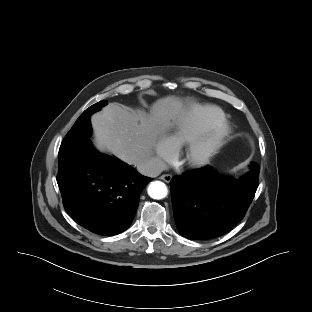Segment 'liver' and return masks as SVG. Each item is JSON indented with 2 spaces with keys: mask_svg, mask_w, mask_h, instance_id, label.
Returning <instances> with one entry per match:
<instances>
[{
  "mask_svg": "<svg viewBox=\"0 0 312 312\" xmlns=\"http://www.w3.org/2000/svg\"><path fill=\"white\" fill-rule=\"evenodd\" d=\"M181 100L168 96L157 100L149 116L130 112L110 103L91 117L94 144L129 165L151 158L158 136L176 124L184 115Z\"/></svg>",
  "mask_w": 312,
  "mask_h": 312,
  "instance_id": "liver-1",
  "label": "liver"
}]
</instances>
